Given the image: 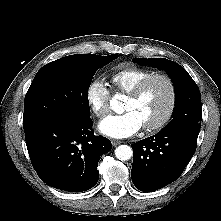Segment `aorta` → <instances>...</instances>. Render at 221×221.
I'll use <instances>...</instances> for the list:
<instances>
[{"instance_id": "1", "label": "aorta", "mask_w": 221, "mask_h": 221, "mask_svg": "<svg viewBox=\"0 0 221 221\" xmlns=\"http://www.w3.org/2000/svg\"><path fill=\"white\" fill-rule=\"evenodd\" d=\"M110 105L112 109L116 110L118 106V101L116 100V97H114L111 100ZM132 154H133L132 148L128 145H120L115 149V155L117 159L121 161L129 160L132 157Z\"/></svg>"}]
</instances>
